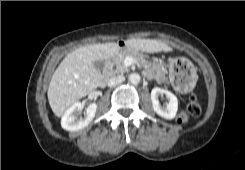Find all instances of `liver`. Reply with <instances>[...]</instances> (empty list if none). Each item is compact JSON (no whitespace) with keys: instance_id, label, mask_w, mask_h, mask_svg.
Here are the masks:
<instances>
[{"instance_id":"liver-1","label":"liver","mask_w":245,"mask_h":170,"mask_svg":"<svg viewBox=\"0 0 245 170\" xmlns=\"http://www.w3.org/2000/svg\"><path fill=\"white\" fill-rule=\"evenodd\" d=\"M124 47L131 51L157 53L170 51L166 43L155 39H128ZM121 47L115 42L81 46L68 53L52 75L48 87V101L53 113L61 117L79 99L94 91L102 81L95 61L116 56Z\"/></svg>"}]
</instances>
